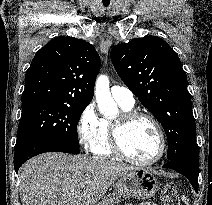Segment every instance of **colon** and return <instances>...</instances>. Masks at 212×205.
I'll use <instances>...</instances> for the list:
<instances>
[{"instance_id":"obj_1","label":"colon","mask_w":212,"mask_h":205,"mask_svg":"<svg viewBox=\"0 0 212 205\" xmlns=\"http://www.w3.org/2000/svg\"><path fill=\"white\" fill-rule=\"evenodd\" d=\"M161 199L163 205H180L177 188L173 183H167L163 186Z\"/></svg>"}]
</instances>
